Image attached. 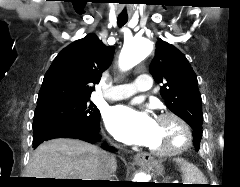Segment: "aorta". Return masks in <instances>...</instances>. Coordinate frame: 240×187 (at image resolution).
<instances>
[{"label":"aorta","instance_id":"obj_1","mask_svg":"<svg viewBox=\"0 0 240 187\" xmlns=\"http://www.w3.org/2000/svg\"><path fill=\"white\" fill-rule=\"evenodd\" d=\"M152 42L144 37H134L127 42L120 54L119 67L126 71L134 67L144 58H146L152 51ZM133 182H148V177L145 173H138L135 175Z\"/></svg>","mask_w":240,"mask_h":187}]
</instances>
